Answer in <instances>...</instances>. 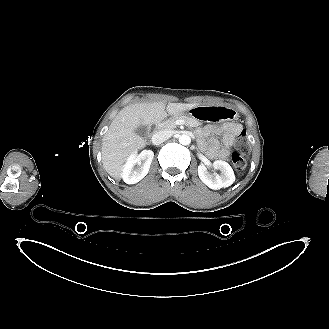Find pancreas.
<instances>
[{
    "mask_svg": "<svg viewBox=\"0 0 329 329\" xmlns=\"http://www.w3.org/2000/svg\"><path fill=\"white\" fill-rule=\"evenodd\" d=\"M177 121H182L184 124L189 125V126H197L198 121L191 116H186V115H180V116H173L169 118L168 120L164 121L161 124V127L164 129H174L176 128Z\"/></svg>",
    "mask_w": 329,
    "mask_h": 329,
    "instance_id": "obj_1",
    "label": "pancreas"
}]
</instances>
